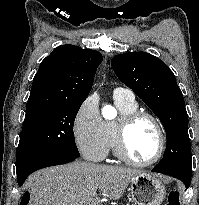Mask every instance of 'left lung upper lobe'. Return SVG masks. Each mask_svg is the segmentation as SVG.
<instances>
[{
  "label": "left lung upper lobe",
  "mask_w": 199,
  "mask_h": 205,
  "mask_svg": "<svg viewBox=\"0 0 199 205\" xmlns=\"http://www.w3.org/2000/svg\"><path fill=\"white\" fill-rule=\"evenodd\" d=\"M111 65L117 77L143 100L165 128L167 148L153 169L191 178L188 115L173 72L159 58L146 52L116 55Z\"/></svg>",
  "instance_id": "1"
}]
</instances>
